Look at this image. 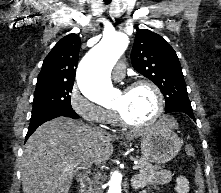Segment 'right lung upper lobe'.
I'll return each mask as SVG.
<instances>
[{
    "label": "right lung upper lobe",
    "mask_w": 221,
    "mask_h": 193,
    "mask_svg": "<svg viewBox=\"0 0 221 193\" xmlns=\"http://www.w3.org/2000/svg\"><path fill=\"white\" fill-rule=\"evenodd\" d=\"M81 40L72 33L62 38L43 61L37 85L73 83Z\"/></svg>",
    "instance_id": "obj_1"
}]
</instances>
